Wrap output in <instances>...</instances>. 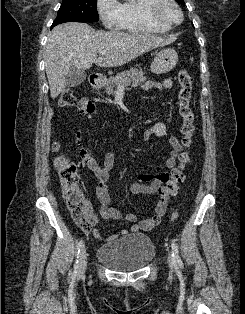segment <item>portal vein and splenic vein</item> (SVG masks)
<instances>
[{
  "label": "portal vein and splenic vein",
  "mask_w": 245,
  "mask_h": 314,
  "mask_svg": "<svg viewBox=\"0 0 245 314\" xmlns=\"http://www.w3.org/2000/svg\"><path fill=\"white\" fill-rule=\"evenodd\" d=\"M106 53H107V51H105V50L99 51L100 55H105Z\"/></svg>",
  "instance_id": "1"
}]
</instances>
